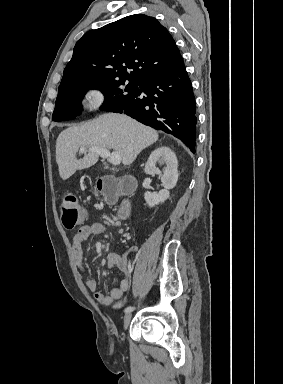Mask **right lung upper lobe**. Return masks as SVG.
I'll return each instance as SVG.
<instances>
[{
	"instance_id": "obj_1",
	"label": "right lung upper lobe",
	"mask_w": 283,
	"mask_h": 384,
	"mask_svg": "<svg viewBox=\"0 0 283 384\" xmlns=\"http://www.w3.org/2000/svg\"><path fill=\"white\" fill-rule=\"evenodd\" d=\"M184 66L176 43L157 19L124 17L85 33L76 43L60 86L126 79L138 82ZM127 69H133L128 74Z\"/></svg>"
}]
</instances>
